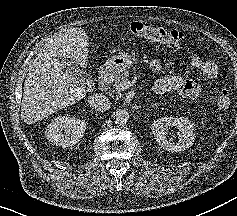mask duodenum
<instances>
[{"label":"duodenum","mask_w":237,"mask_h":216,"mask_svg":"<svg viewBox=\"0 0 237 216\" xmlns=\"http://www.w3.org/2000/svg\"><path fill=\"white\" fill-rule=\"evenodd\" d=\"M112 73L109 70H102L99 73V84L102 87H109L112 84L113 78Z\"/></svg>","instance_id":"obj_1"}]
</instances>
